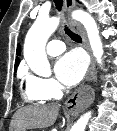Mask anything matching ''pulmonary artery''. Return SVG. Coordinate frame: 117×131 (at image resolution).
<instances>
[{
  "label": "pulmonary artery",
  "mask_w": 117,
  "mask_h": 131,
  "mask_svg": "<svg viewBox=\"0 0 117 131\" xmlns=\"http://www.w3.org/2000/svg\"><path fill=\"white\" fill-rule=\"evenodd\" d=\"M65 50V44L61 40H51L46 46V51L50 56H57Z\"/></svg>",
  "instance_id": "1"
}]
</instances>
